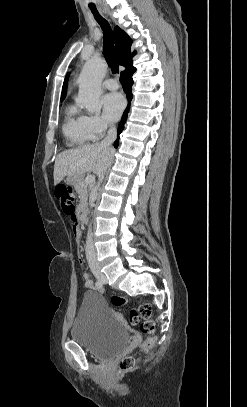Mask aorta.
<instances>
[{
  "instance_id": "obj_1",
  "label": "aorta",
  "mask_w": 247,
  "mask_h": 407,
  "mask_svg": "<svg viewBox=\"0 0 247 407\" xmlns=\"http://www.w3.org/2000/svg\"><path fill=\"white\" fill-rule=\"evenodd\" d=\"M107 63L100 57H93L87 61L78 78L79 92L77 102L83 105L90 114L101 110V83L107 72Z\"/></svg>"
}]
</instances>
